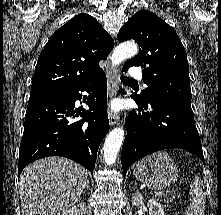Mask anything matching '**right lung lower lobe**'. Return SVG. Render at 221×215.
<instances>
[{
    "label": "right lung lower lobe",
    "instance_id": "98d812e1",
    "mask_svg": "<svg viewBox=\"0 0 221 215\" xmlns=\"http://www.w3.org/2000/svg\"><path fill=\"white\" fill-rule=\"evenodd\" d=\"M79 91L90 93L86 102L89 110L74 109L75 101L82 98ZM106 100L107 79L102 69L71 89L30 100L19 148L18 177L27 164L48 156L72 159L93 175L99 145L109 131Z\"/></svg>",
    "mask_w": 221,
    "mask_h": 215
}]
</instances>
